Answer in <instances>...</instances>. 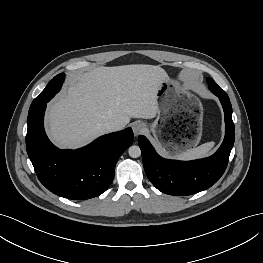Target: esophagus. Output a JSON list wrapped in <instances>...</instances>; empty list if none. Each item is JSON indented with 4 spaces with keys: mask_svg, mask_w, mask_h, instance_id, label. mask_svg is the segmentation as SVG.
I'll list each match as a JSON object with an SVG mask.
<instances>
[{
    "mask_svg": "<svg viewBox=\"0 0 263 263\" xmlns=\"http://www.w3.org/2000/svg\"><path fill=\"white\" fill-rule=\"evenodd\" d=\"M144 129H145V125L140 121L134 122L132 124V130L135 136L141 134Z\"/></svg>",
    "mask_w": 263,
    "mask_h": 263,
    "instance_id": "esophagus-1",
    "label": "esophagus"
}]
</instances>
